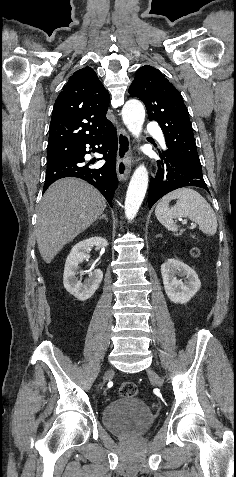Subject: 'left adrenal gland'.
Here are the masks:
<instances>
[{
  "label": "left adrenal gland",
  "instance_id": "a2214340",
  "mask_svg": "<svg viewBox=\"0 0 236 477\" xmlns=\"http://www.w3.org/2000/svg\"><path fill=\"white\" fill-rule=\"evenodd\" d=\"M160 236H161V235H160V234H158L156 237H160Z\"/></svg>",
  "mask_w": 236,
  "mask_h": 477
}]
</instances>
